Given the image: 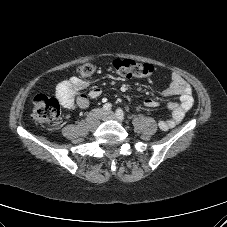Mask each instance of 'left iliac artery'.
<instances>
[{
	"label": "left iliac artery",
	"instance_id": "44dca946",
	"mask_svg": "<svg viewBox=\"0 0 227 227\" xmlns=\"http://www.w3.org/2000/svg\"><path fill=\"white\" fill-rule=\"evenodd\" d=\"M116 115H117V117H118L120 120H124V112H123L122 109L118 108V109L116 110Z\"/></svg>",
	"mask_w": 227,
	"mask_h": 227
}]
</instances>
